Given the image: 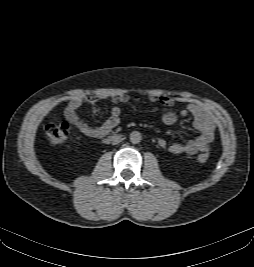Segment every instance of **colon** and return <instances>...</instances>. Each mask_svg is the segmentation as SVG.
Returning <instances> with one entry per match:
<instances>
[{"instance_id": "obj_1", "label": "colon", "mask_w": 254, "mask_h": 267, "mask_svg": "<svg viewBox=\"0 0 254 267\" xmlns=\"http://www.w3.org/2000/svg\"><path fill=\"white\" fill-rule=\"evenodd\" d=\"M46 135L51 143L62 145L71 137V128L67 123H51L46 126ZM208 159L209 154L207 152L197 156L199 163H205Z\"/></svg>"}]
</instances>
